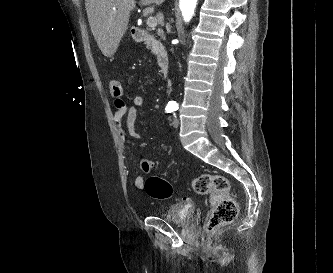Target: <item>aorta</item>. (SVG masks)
I'll return each instance as SVG.
<instances>
[{
  "mask_svg": "<svg viewBox=\"0 0 333 273\" xmlns=\"http://www.w3.org/2000/svg\"><path fill=\"white\" fill-rule=\"evenodd\" d=\"M197 2L198 0H179V8L185 22H189L193 17Z\"/></svg>",
  "mask_w": 333,
  "mask_h": 273,
  "instance_id": "762f6f07",
  "label": "aorta"
}]
</instances>
